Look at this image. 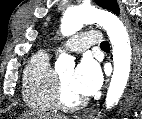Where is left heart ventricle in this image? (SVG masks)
<instances>
[{"label": "left heart ventricle", "instance_id": "b2bd125f", "mask_svg": "<svg viewBox=\"0 0 142 119\" xmlns=\"http://www.w3.org/2000/svg\"><path fill=\"white\" fill-rule=\"evenodd\" d=\"M60 79L62 81L64 92H65V98L68 102H73L75 100H78L81 98L80 95L75 93L71 88V77H72V71L69 70L63 74H61Z\"/></svg>", "mask_w": 142, "mask_h": 119}]
</instances>
